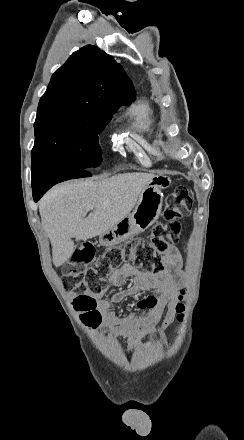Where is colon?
<instances>
[{"label": "colon", "mask_w": 244, "mask_h": 440, "mask_svg": "<svg viewBox=\"0 0 244 440\" xmlns=\"http://www.w3.org/2000/svg\"><path fill=\"white\" fill-rule=\"evenodd\" d=\"M192 207L190 192L185 187L177 188L165 200L163 216L166 222L158 224L147 242H138L134 247L115 249L103 254L97 265V271H93V263L96 259V248L92 242H85L79 250L72 251L73 260L78 262H64V275L59 281L66 284L68 294H77L74 306L82 313L84 319H99L100 311L95 310L98 305L97 298L91 294H99L104 284L105 270H110L124 262H132L143 266L146 272L156 273L163 269V254L168 247L177 242L180 233L179 220L188 215ZM189 252L188 246L184 248ZM88 271L83 277L82 272ZM90 293V294H89ZM177 319L183 321L187 307L182 302L176 305Z\"/></svg>", "instance_id": "5ec220e1"}]
</instances>
